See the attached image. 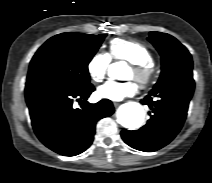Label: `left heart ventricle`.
Segmentation results:
<instances>
[{
  "mask_svg": "<svg viewBox=\"0 0 212 183\" xmlns=\"http://www.w3.org/2000/svg\"><path fill=\"white\" fill-rule=\"evenodd\" d=\"M124 79L126 80H135V75L131 68H128L127 72L125 73Z\"/></svg>",
  "mask_w": 212,
  "mask_h": 183,
  "instance_id": "left-heart-ventricle-1",
  "label": "left heart ventricle"
}]
</instances>
